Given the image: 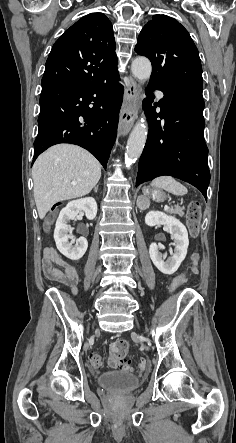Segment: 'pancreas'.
Masks as SVG:
<instances>
[{
  "mask_svg": "<svg viewBox=\"0 0 236 443\" xmlns=\"http://www.w3.org/2000/svg\"><path fill=\"white\" fill-rule=\"evenodd\" d=\"M169 213L183 216L184 215V207H175L168 210Z\"/></svg>",
  "mask_w": 236,
  "mask_h": 443,
  "instance_id": "obj_1",
  "label": "pancreas"
}]
</instances>
